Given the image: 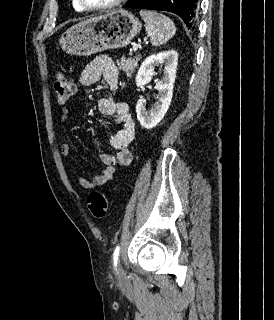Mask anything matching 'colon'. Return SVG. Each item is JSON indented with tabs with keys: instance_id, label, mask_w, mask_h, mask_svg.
<instances>
[{
	"instance_id": "colon-1",
	"label": "colon",
	"mask_w": 274,
	"mask_h": 320,
	"mask_svg": "<svg viewBox=\"0 0 274 320\" xmlns=\"http://www.w3.org/2000/svg\"><path fill=\"white\" fill-rule=\"evenodd\" d=\"M55 99L59 104L67 103L74 91V83L70 77L57 73L53 82ZM109 200L101 191H93L86 200V206L93 218L103 219L109 207Z\"/></svg>"
}]
</instances>
